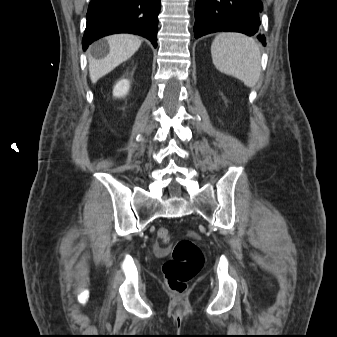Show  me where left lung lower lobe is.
I'll list each match as a JSON object with an SVG mask.
<instances>
[{"instance_id": "1", "label": "left lung lower lobe", "mask_w": 337, "mask_h": 337, "mask_svg": "<svg viewBox=\"0 0 337 337\" xmlns=\"http://www.w3.org/2000/svg\"><path fill=\"white\" fill-rule=\"evenodd\" d=\"M262 10L261 0H197L195 38L217 31L257 34ZM257 38L266 45L264 35Z\"/></svg>"}]
</instances>
